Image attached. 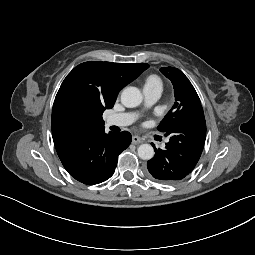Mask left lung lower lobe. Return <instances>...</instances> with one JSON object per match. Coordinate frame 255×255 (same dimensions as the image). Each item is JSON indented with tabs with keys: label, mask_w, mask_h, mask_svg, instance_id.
Instances as JSON below:
<instances>
[{
	"label": "left lung lower lobe",
	"mask_w": 255,
	"mask_h": 255,
	"mask_svg": "<svg viewBox=\"0 0 255 255\" xmlns=\"http://www.w3.org/2000/svg\"><path fill=\"white\" fill-rule=\"evenodd\" d=\"M165 136L170 140L164 150L152 143L156 153L147 168L155 180L175 183L188 176L199 161L206 138L204 113L173 127Z\"/></svg>",
	"instance_id": "left-lung-lower-lobe-1"
}]
</instances>
